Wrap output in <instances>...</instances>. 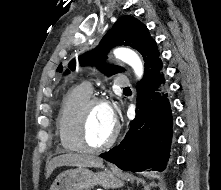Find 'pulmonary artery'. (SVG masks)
I'll return each mask as SVG.
<instances>
[{
  "instance_id": "pulmonary-artery-1",
  "label": "pulmonary artery",
  "mask_w": 221,
  "mask_h": 190,
  "mask_svg": "<svg viewBox=\"0 0 221 190\" xmlns=\"http://www.w3.org/2000/svg\"><path fill=\"white\" fill-rule=\"evenodd\" d=\"M114 83L117 87H123V88L128 87L130 85V81L128 77L125 75H117L115 77ZM84 87L91 93L92 87L89 83H86Z\"/></svg>"
}]
</instances>
